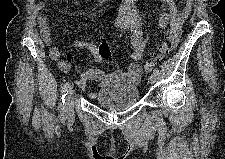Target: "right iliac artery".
<instances>
[{
  "label": "right iliac artery",
  "instance_id": "right-iliac-artery-1",
  "mask_svg": "<svg viewBox=\"0 0 225 159\" xmlns=\"http://www.w3.org/2000/svg\"><path fill=\"white\" fill-rule=\"evenodd\" d=\"M70 88V83L67 82L64 84L62 90H61V98H60V102H59V112L61 113V115H64L65 112V97L68 93V89Z\"/></svg>",
  "mask_w": 225,
  "mask_h": 159
}]
</instances>
